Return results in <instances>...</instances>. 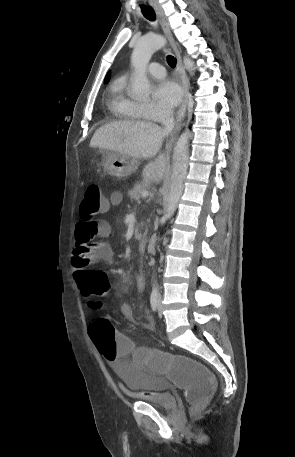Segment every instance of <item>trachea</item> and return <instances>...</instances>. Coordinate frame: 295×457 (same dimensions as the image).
<instances>
[{
  "mask_svg": "<svg viewBox=\"0 0 295 457\" xmlns=\"http://www.w3.org/2000/svg\"><path fill=\"white\" fill-rule=\"evenodd\" d=\"M141 12L144 17L150 21H155L156 15L152 8H148L146 6L141 7ZM167 63L170 67L174 68L176 66V58L172 55L167 56Z\"/></svg>",
  "mask_w": 295,
  "mask_h": 457,
  "instance_id": "1",
  "label": "trachea"
}]
</instances>
